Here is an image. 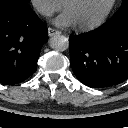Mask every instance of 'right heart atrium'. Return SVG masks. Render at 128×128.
I'll return each instance as SVG.
<instances>
[{
    "mask_svg": "<svg viewBox=\"0 0 128 128\" xmlns=\"http://www.w3.org/2000/svg\"><path fill=\"white\" fill-rule=\"evenodd\" d=\"M31 2L44 17H49L62 8L61 0H31Z\"/></svg>",
    "mask_w": 128,
    "mask_h": 128,
    "instance_id": "1",
    "label": "right heart atrium"
}]
</instances>
